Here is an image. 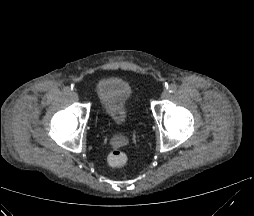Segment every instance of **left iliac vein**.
Masks as SVG:
<instances>
[{"label":"left iliac vein","instance_id":"left-iliac-vein-1","mask_svg":"<svg viewBox=\"0 0 254 216\" xmlns=\"http://www.w3.org/2000/svg\"><path fill=\"white\" fill-rule=\"evenodd\" d=\"M170 93L168 90H164L161 94L162 99H167L169 97Z\"/></svg>","mask_w":254,"mask_h":216}]
</instances>
